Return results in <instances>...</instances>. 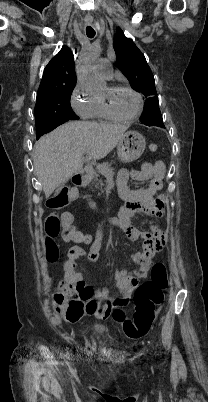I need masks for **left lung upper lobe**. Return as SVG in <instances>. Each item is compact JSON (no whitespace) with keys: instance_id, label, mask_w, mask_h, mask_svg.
<instances>
[{"instance_id":"5c2ea615","label":"left lung upper lobe","mask_w":208,"mask_h":402,"mask_svg":"<svg viewBox=\"0 0 208 402\" xmlns=\"http://www.w3.org/2000/svg\"><path fill=\"white\" fill-rule=\"evenodd\" d=\"M114 50L118 68L125 74L131 86L147 98L145 113L141 122L148 126L165 127L159 110L154 76L145 56L130 38L118 28L114 38Z\"/></svg>"}]
</instances>
